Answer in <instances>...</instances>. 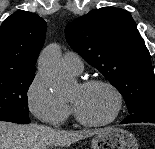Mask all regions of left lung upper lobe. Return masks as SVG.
I'll return each mask as SVG.
<instances>
[{
  "instance_id": "left-lung-upper-lobe-1",
  "label": "left lung upper lobe",
  "mask_w": 155,
  "mask_h": 149,
  "mask_svg": "<svg viewBox=\"0 0 155 149\" xmlns=\"http://www.w3.org/2000/svg\"><path fill=\"white\" fill-rule=\"evenodd\" d=\"M71 48L121 92L130 114L155 102L150 54L126 10L103 7L67 24Z\"/></svg>"
}]
</instances>
